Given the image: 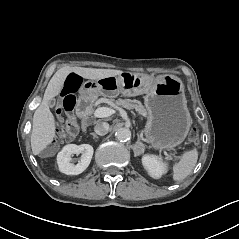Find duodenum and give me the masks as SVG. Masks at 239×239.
<instances>
[{
	"mask_svg": "<svg viewBox=\"0 0 239 239\" xmlns=\"http://www.w3.org/2000/svg\"><path fill=\"white\" fill-rule=\"evenodd\" d=\"M76 111L81 119L83 130H86L89 124V119L92 111L91 100L86 96L80 98L76 106Z\"/></svg>",
	"mask_w": 239,
	"mask_h": 239,
	"instance_id": "410a0bca",
	"label": "duodenum"
}]
</instances>
